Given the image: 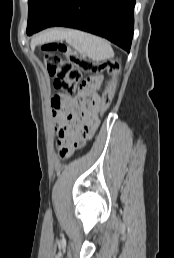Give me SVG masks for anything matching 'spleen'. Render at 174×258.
<instances>
[{"mask_svg": "<svg viewBox=\"0 0 174 258\" xmlns=\"http://www.w3.org/2000/svg\"><path fill=\"white\" fill-rule=\"evenodd\" d=\"M52 34L53 39H65L69 45L77 51L85 53L94 61H101L114 56L110 43L95 35L74 29L55 30L52 31Z\"/></svg>", "mask_w": 174, "mask_h": 258, "instance_id": "spleen-1", "label": "spleen"}]
</instances>
